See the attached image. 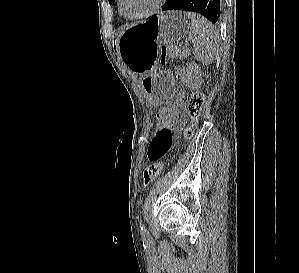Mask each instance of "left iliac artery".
<instances>
[{
    "mask_svg": "<svg viewBox=\"0 0 299 273\" xmlns=\"http://www.w3.org/2000/svg\"><path fill=\"white\" fill-rule=\"evenodd\" d=\"M139 223H140L141 232L144 234V233L146 232V229H145V226H144V224L142 223V220H141V219L139 220Z\"/></svg>",
    "mask_w": 299,
    "mask_h": 273,
    "instance_id": "1",
    "label": "left iliac artery"
}]
</instances>
